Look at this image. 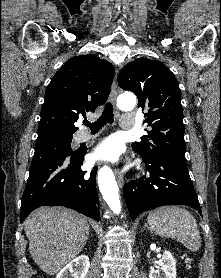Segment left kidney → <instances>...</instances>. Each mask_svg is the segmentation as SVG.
Instances as JSON below:
<instances>
[{"label": "left kidney", "instance_id": "5707ae66", "mask_svg": "<svg viewBox=\"0 0 221 278\" xmlns=\"http://www.w3.org/2000/svg\"><path fill=\"white\" fill-rule=\"evenodd\" d=\"M176 276V260L171 252L164 251L157 270L151 269L149 278H176Z\"/></svg>", "mask_w": 221, "mask_h": 278}]
</instances>
